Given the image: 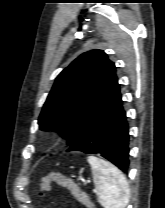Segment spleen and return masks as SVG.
<instances>
[{"label":"spleen","mask_w":165,"mask_h":208,"mask_svg":"<svg viewBox=\"0 0 165 208\" xmlns=\"http://www.w3.org/2000/svg\"><path fill=\"white\" fill-rule=\"evenodd\" d=\"M99 203L104 208H125L129 203L130 189L123 173L113 164L95 157H88Z\"/></svg>","instance_id":"obj_1"}]
</instances>
